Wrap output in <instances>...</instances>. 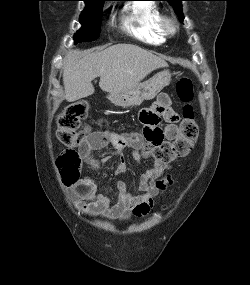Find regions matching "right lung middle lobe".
Listing matches in <instances>:
<instances>
[{
	"label": "right lung middle lobe",
	"mask_w": 250,
	"mask_h": 285,
	"mask_svg": "<svg viewBox=\"0 0 250 285\" xmlns=\"http://www.w3.org/2000/svg\"><path fill=\"white\" fill-rule=\"evenodd\" d=\"M86 4L79 21L82 27L74 37L75 44L84 41H94L100 35L103 4L106 0H83Z\"/></svg>",
	"instance_id": "dd1d6c3e"
}]
</instances>
